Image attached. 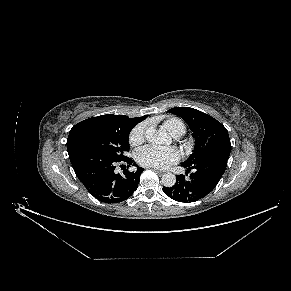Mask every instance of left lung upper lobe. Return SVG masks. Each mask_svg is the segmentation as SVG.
<instances>
[{"label":"left lung upper lobe","mask_w":291,"mask_h":291,"mask_svg":"<svg viewBox=\"0 0 291 291\" xmlns=\"http://www.w3.org/2000/svg\"><path fill=\"white\" fill-rule=\"evenodd\" d=\"M168 112L183 118L194 133L193 153L182 164L191 165L208 159L228 160L231 143L227 129L219 121L190 107H175Z\"/></svg>","instance_id":"5c2ea615"}]
</instances>
